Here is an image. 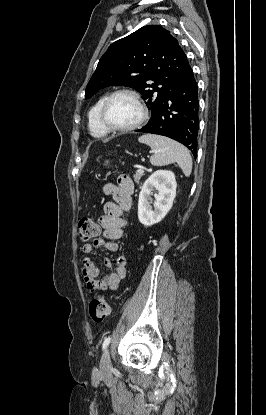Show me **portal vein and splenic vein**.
<instances>
[{"instance_id":"portal-vein-and-splenic-vein-1","label":"portal vein and splenic vein","mask_w":266,"mask_h":415,"mask_svg":"<svg viewBox=\"0 0 266 415\" xmlns=\"http://www.w3.org/2000/svg\"><path fill=\"white\" fill-rule=\"evenodd\" d=\"M143 172H144L143 167H140V168L137 170V173H143Z\"/></svg>"}]
</instances>
